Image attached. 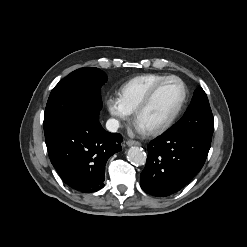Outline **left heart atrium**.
Here are the masks:
<instances>
[{
	"mask_svg": "<svg viewBox=\"0 0 247 247\" xmlns=\"http://www.w3.org/2000/svg\"><path fill=\"white\" fill-rule=\"evenodd\" d=\"M136 129L139 133H145L146 132V130L144 128H142L139 124H137Z\"/></svg>",
	"mask_w": 247,
	"mask_h": 247,
	"instance_id": "1",
	"label": "left heart atrium"
}]
</instances>
